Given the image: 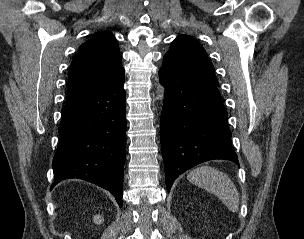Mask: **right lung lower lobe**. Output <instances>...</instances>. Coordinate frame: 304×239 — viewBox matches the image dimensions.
<instances>
[{
  "instance_id": "98d812e1",
  "label": "right lung lower lobe",
  "mask_w": 304,
  "mask_h": 239,
  "mask_svg": "<svg viewBox=\"0 0 304 239\" xmlns=\"http://www.w3.org/2000/svg\"><path fill=\"white\" fill-rule=\"evenodd\" d=\"M124 73L62 108L53 158L54 187L80 178L110 191L122 206L126 147Z\"/></svg>"
}]
</instances>
